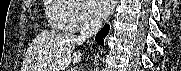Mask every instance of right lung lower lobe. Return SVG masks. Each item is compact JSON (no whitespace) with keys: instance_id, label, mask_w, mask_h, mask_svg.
<instances>
[{"instance_id":"98d812e1","label":"right lung lower lobe","mask_w":181,"mask_h":71,"mask_svg":"<svg viewBox=\"0 0 181 71\" xmlns=\"http://www.w3.org/2000/svg\"><path fill=\"white\" fill-rule=\"evenodd\" d=\"M109 28L110 26L108 24H106L96 35L95 40L97 41V43H99L100 45H103V41L104 38L106 37V35L109 32Z\"/></svg>"}]
</instances>
